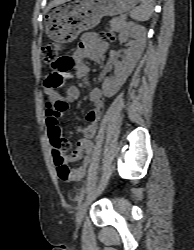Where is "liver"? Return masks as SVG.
<instances>
[{"instance_id":"obj_1","label":"liver","mask_w":194,"mask_h":250,"mask_svg":"<svg viewBox=\"0 0 194 250\" xmlns=\"http://www.w3.org/2000/svg\"><path fill=\"white\" fill-rule=\"evenodd\" d=\"M65 1H67V0H53V1L49 4V8L52 7V6H54V5L64 3Z\"/></svg>"}]
</instances>
